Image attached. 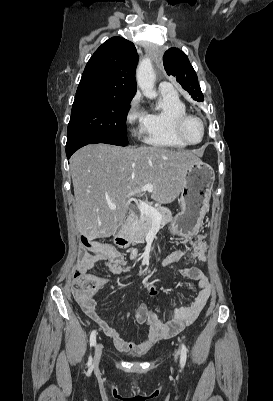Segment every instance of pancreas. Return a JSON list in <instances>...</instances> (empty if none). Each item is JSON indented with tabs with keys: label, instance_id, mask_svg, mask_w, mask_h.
<instances>
[{
	"label": "pancreas",
	"instance_id": "pancreas-1",
	"mask_svg": "<svg viewBox=\"0 0 273 401\" xmlns=\"http://www.w3.org/2000/svg\"><path fill=\"white\" fill-rule=\"evenodd\" d=\"M155 209L162 217L160 225H167V223L173 221L172 213L169 209H166V207H155ZM152 221L153 219H151V217L140 213L138 219L133 221L128 227L127 233L129 241H131V243H142L152 227Z\"/></svg>",
	"mask_w": 273,
	"mask_h": 401
}]
</instances>
